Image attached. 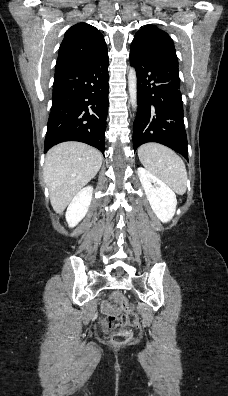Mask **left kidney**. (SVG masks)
Masks as SVG:
<instances>
[{
    "mask_svg": "<svg viewBox=\"0 0 228 396\" xmlns=\"http://www.w3.org/2000/svg\"><path fill=\"white\" fill-rule=\"evenodd\" d=\"M150 206L161 222H168L176 211L177 199L173 190L144 168L137 170Z\"/></svg>",
    "mask_w": 228,
    "mask_h": 396,
    "instance_id": "left-kidney-1",
    "label": "left kidney"
}]
</instances>
